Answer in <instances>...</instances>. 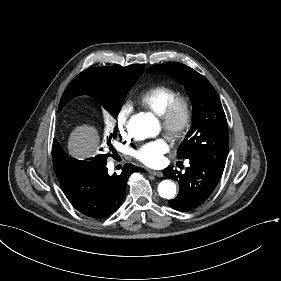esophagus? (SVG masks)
Listing matches in <instances>:
<instances>
[{
    "mask_svg": "<svg viewBox=\"0 0 281 281\" xmlns=\"http://www.w3.org/2000/svg\"><path fill=\"white\" fill-rule=\"evenodd\" d=\"M149 173L154 175V176L163 177V173L161 171L149 170Z\"/></svg>",
    "mask_w": 281,
    "mask_h": 281,
    "instance_id": "obj_1",
    "label": "esophagus"
}]
</instances>
